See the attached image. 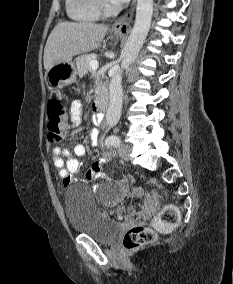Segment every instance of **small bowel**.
<instances>
[{
	"instance_id": "1",
	"label": "small bowel",
	"mask_w": 233,
	"mask_h": 284,
	"mask_svg": "<svg viewBox=\"0 0 233 284\" xmlns=\"http://www.w3.org/2000/svg\"><path fill=\"white\" fill-rule=\"evenodd\" d=\"M70 113L72 116V125L79 123L81 104L78 101H74L71 104ZM103 120V114L95 113L93 121L96 124H100ZM92 138H97V132L92 130L89 132ZM86 149L83 144H76L74 146V154L78 157L85 155ZM53 163L58 170L59 177L65 186L73 183L76 178L75 175L80 169V162L71 156L68 149L54 147L52 149ZM109 155L105 154L101 160L95 161L90 169L87 171L86 179L89 181L105 178L106 173L104 171V162L107 161Z\"/></svg>"
}]
</instances>
